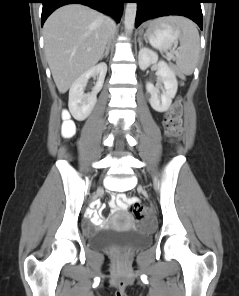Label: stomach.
<instances>
[{"mask_svg":"<svg viewBox=\"0 0 239 296\" xmlns=\"http://www.w3.org/2000/svg\"><path fill=\"white\" fill-rule=\"evenodd\" d=\"M150 43L156 48H168L178 37L179 31L162 24L147 31Z\"/></svg>","mask_w":239,"mask_h":296,"instance_id":"1","label":"stomach"}]
</instances>
